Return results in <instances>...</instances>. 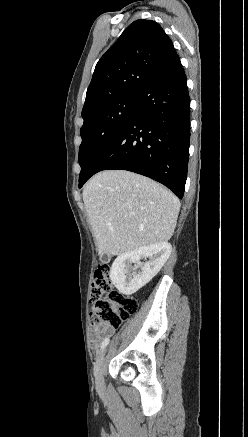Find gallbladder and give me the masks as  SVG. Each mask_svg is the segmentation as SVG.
I'll return each instance as SVG.
<instances>
[{"label": "gallbladder", "mask_w": 248, "mask_h": 437, "mask_svg": "<svg viewBox=\"0 0 248 437\" xmlns=\"http://www.w3.org/2000/svg\"><path fill=\"white\" fill-rule=\"evenodd\" d=\"M100 259H101V261H107L108 255L106 253H104V254L100 255Z\"/></svg>", "instance_id": "gallbladder-1"}]
</instances>
